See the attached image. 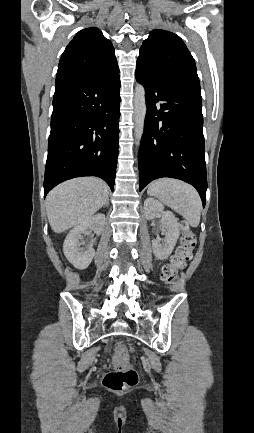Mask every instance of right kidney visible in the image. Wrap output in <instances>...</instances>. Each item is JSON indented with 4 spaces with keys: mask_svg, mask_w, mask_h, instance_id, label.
Here are the masks:
<instances>
[{
    "mask_svg": "<svg viewBox=\"0 0 254 433\" xmlns=\"http://www.w3.org/2000/svg\"><path fill=\"white\" fill-rule=\"evenodd\" d=\"M105 215L97 214L92 216L77 226H75L66 236L63 244V251L66 258L72 263L77 269H86L91 263L95 250L93 248V243L85 245L83 240V234L87 233V230H92L95 234L100 235L105 224Z\"/></svg>",
    "mask_w": 254,
    "mask_h": 433,
    "instance_id": "1",
    "label": "right kidney"
}]
</instances>
